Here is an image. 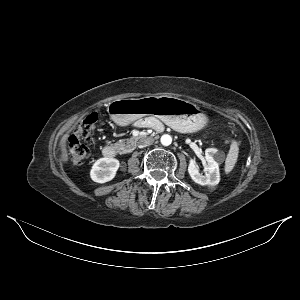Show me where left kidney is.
<instances>
[{"mask_svg": "<svg viewBox=\"0 0 300 300\" xmlns=\"http://www.w3.org/2000/svg\"><path fill=\"white\" fill-rule=\"evenodd\" d=\"M204 172H199V168L195 160L191 159L188 166V172L192 180L202 186H215L220 181L219 162L223 160V154L217 149L208 148L205 150Z\"/></svg>", "mask_w": 300, "mask_h": 300, "instance_id": "5707ae66", "label": "left kidney"}]
</instances>
